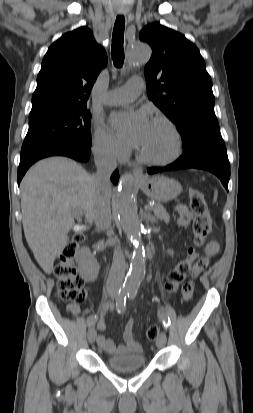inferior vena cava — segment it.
Here are the masks:
<instances>
[{"instance_id":"1","label":"inferior vena cava","mask_w":253,"mask_h":413,"mask_svg":"<svg viewBox=\"0 0 253 413\" xmlns=\"http://www.w3.org/2000/svg\"><path fill=\"white\" fill-rule=\"evenodd\" d=\"M97 167L94 176L96 188V204L94 210V222L99 230L109 229L112 222L110 208V176L117 167L116 156L109 149H101L94 154ZM126 263L123 253L119 248L115 249L113 262L107 280V292H117L123 283Z\"/></svg>"}]
</instances>
